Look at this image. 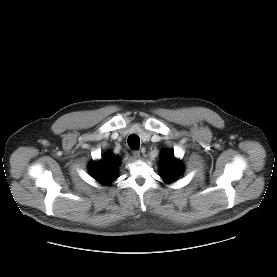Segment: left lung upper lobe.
Returning a JSON list of instances; mask_svg holds the SVG:
<instances>
[{"label":"left lung upper lobe","instance_id":"5c2ea615","mask_svg":"<svg viewBox=\"0 0 277 277\" xmlns=\"http://www.w3.org/2000/svg\"><path fill=\"white\" fill-rule=\"evenodd\" d=\"M160 172L161 177L168 183L176 181L180 175H182L183 166L181 162L174 157L172 151L167 150L162 153Z\"/></svg>","mask_w":277,"mask_h":277}]
</instances>
